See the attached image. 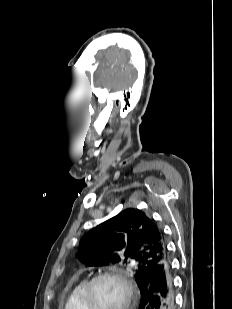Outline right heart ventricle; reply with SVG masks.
Wrapping results in <instances>:
<instances>
[{
  "mask_svg": "<svg viewBox=\"0 0 232 309\" xmlns=\"http://www.w3.org/2000/svg\"><path fill=\"white\" fill-rule=\"evenodd\" d=\"M86 284L87 280H81L74 286L67 298L65 309H86L83 302Z\"/></svg>",
  "mask_w": 232,
  "mask_h": 309,
  "instance_id": "e07e8e85",
  "label": "right heart ventricle"
}]
</instances>
